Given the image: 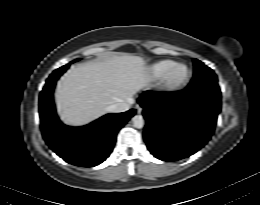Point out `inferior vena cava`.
<instances>
[{"mask_svg": "<svg viewBox=\"0 0 260 205\" xmlns=\"http://www.w3.org/2000/svg\"><path fill=\"white\" fill-rule=\"evenodd\" d=\"M134 103L133 99H130L129 101H123L119 103H115L113 105H110L107 107V112H124L130 109V105Z\"/></svg>", "mask_w": 260, "mask_h": 205, "instance_id": "inferior-vena-cava-1", "label": "inferior vena cava"}]
</instances>
